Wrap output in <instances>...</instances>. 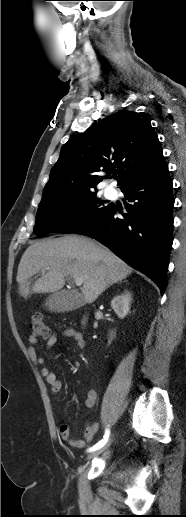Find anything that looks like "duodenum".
I'll return each mask as SVG.
<instances>
[{"instance_id":"410a0bca","label":"duodenum","mask_w":186,"mask_h":517,"mask_svg":"<svg viewBox=\"0 0 186 517\" xmlns=\"http://www.w3.org/2000/svg\"><path fill=\"white\" fill-rule=\"evenodd\" d=\"M86 323H87V318L85 317V318L83 319V324H86Z\"/></svg>"}]
</instances>
